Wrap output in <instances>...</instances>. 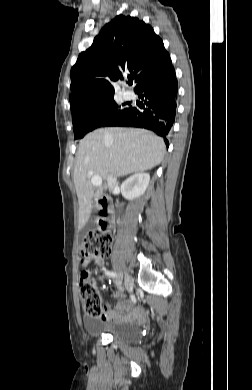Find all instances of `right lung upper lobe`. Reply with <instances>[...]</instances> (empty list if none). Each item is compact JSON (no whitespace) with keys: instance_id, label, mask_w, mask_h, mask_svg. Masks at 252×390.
I'll return each instance as SVG.
<instances>
[{"instance_id":"obj_1","label":"right lung upper lobe","mask_w":252,"mask_h":390,"mask_svg":"<svg viewBox=\"0 0 252 390\" xmlns=\"http://www.w3.org/2000/svg\"><path fill=\"white\" fill-rule=\"evenodd\" d=\"M174 70L153 28L135 17L119 15L106 24L71 69V110L114 95L113 82L129 71L136 89L150 78Z\"/></svg>"}]
</instances>
